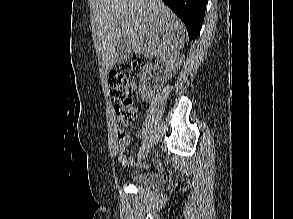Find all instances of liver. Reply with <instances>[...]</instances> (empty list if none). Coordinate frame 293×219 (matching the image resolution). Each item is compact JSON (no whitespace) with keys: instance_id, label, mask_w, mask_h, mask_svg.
I'll return each mask as SVG.
<instances>
[{"instance_id":"6515ba94","label":"liver","mask_w":293,"mask_h":219,"mask_svg":"<svg viewBox=\"0 0 293 219\" xmlns=\"http://www.w3.org/2000/svg\"><path fill=\"white\" fill-rule=\"evenodd\" d=\"M93 41L106 71L116 63L118 40L128 36L131 49L145 57L177 52L185 41V27L161 0H96Z\"/></svg>"}]
</instances>
